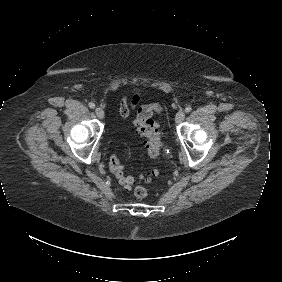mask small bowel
I'll list each match as a JSON object with an SVG mask.
<instances>
[{"instance_id": "obj_1", "label": "small bowel", "mask_w": 282, "mask_h": 282, "mask_svg": "<svg viewBox=\"0 0 282 282\" xmlns=\"http://www.w3.org/2000/svg\"><path fill=\"white\" fill-rule=\"evenodd\" d=\"M141 95L138 92L130 95H124L119 104V113L122 118H128L131 113L138 107Z\"/></svg>"}]
</instances>
